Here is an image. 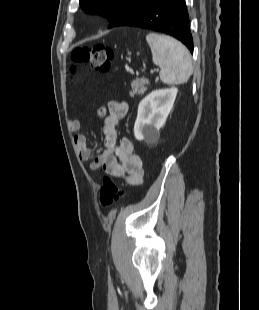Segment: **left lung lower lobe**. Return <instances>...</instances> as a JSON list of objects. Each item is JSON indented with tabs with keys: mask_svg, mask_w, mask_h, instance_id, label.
Wrapping results in <instances>:
<instances>
[{
	"mask_svg": "<svg viewBox=\"0 0 259 310\" xmlns=\"http://www.w3.org/2000/svg\"><path fill=\"white\" fill-rule=\"evenodd\" d=\"M116 26H135L166 33L180 40L193 53L185 0H149L129 11L113 27Z\"/></svg>",
	"mask_w": 259,
	"mask_h": 310,
	"instance_id": "0a47b994",
	"label": "left lung lower lobe"
}]
</instances>
